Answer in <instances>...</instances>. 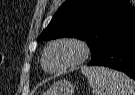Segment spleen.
Wrapping results in <instances>:
<instances>
[{"mask_svg":"<svg viewBox=\"0 0 135 95\" xmlns=\"http://www.w3.org/2000/svg\"><path fill=\"white\" fill-rule=\"evenodd\" d=\"M94 95H135V82L121 72L105 67H81Z\"/></svg>","mask_w":135,"mask_h":95,"instance_id":"3e777b00","label":"spleen"}]
</instances>
